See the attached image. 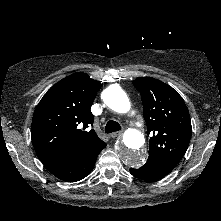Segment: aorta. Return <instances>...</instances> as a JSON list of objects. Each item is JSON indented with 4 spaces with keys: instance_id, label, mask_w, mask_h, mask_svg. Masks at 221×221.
Returning a JSON list of instances; mask_svg holds the SVG:
<instances>
[{
    "instance_id": "obj_1",
    "label": "aorta",
    "mask_w": 221,
    "mask_h": 221,
    "mask_svg": "<svg viewBox=\"0 0 221 221\" xmlns=\"http://www.w3.org/2000/svg\"><path fill=\"white\" fill-rule=\"evenodd\" d=\"M105 104L118 113H127L131 103L126 93L119 86H111L105 91ZM144 136L137 129H127L117 149L121 161L130 167H140L144 162Z\"/></svg>"
}]
</instances>
